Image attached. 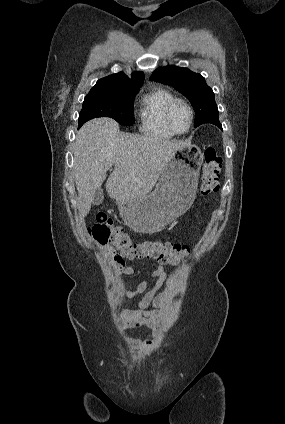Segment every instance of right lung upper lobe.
Wrapping results in <instances>:
<instances>
[{
    "instance_id": "obj_1",
    "label": "right lung upper lobe",
    "mask_w": 285,
    "mask_h": 424,
    "mask_svg": "<svg viewBox=\"0 0 285 424\" xmlns=\"http://www.w3.org/2000/svg\"><path fill=\"white\" fill-rule=\"evenodd\" d=\"M144 81L142 72H135L132 78H129L123 72L109 75L97 81L91 90L123 88V87H141Z\"/></svg>"
}]
</instances>
